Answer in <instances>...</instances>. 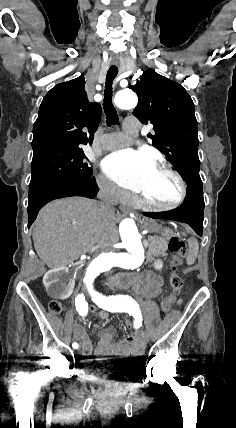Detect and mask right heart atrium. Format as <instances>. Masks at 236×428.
<instances>
[{
    "mask_svg": "<svg viewBox=\"0 0 236 428\" xmlns=\"http://www.w3.org/2000/svg\"><path fill=\"white\" fill-rule=\"evenodd\" d=\"M95 184L99 194L106 200H113V202L121 203L129 198V194L127 192L113 184L104 175H97L95 177Z\"/></svg>",
    "mask_w": 236,
    "mask_h": 428,
    "instance_id": "right-heart-atrium-1",
    "label": "right heart atrium"
}]
</instances>
